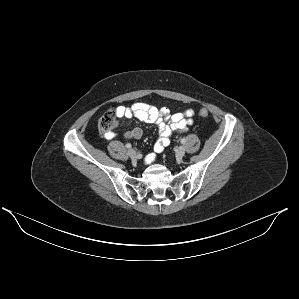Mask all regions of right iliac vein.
Returning a JSON list of instances; mask_svg holds the SVG:
<instances>
[{
    "mask_svg": "<svg viewBox=\"0 0 299 299\" xmlns=\"http://www.w3.org/2000/svg\"><path fill=\"white\" fill-rule=\"evenodd\" d=\"M128 155H129V157H130L131 159H135V158L137 157V152H136L135 150H133V149H130V150L128 151Z\"/></svg>",
    "mask_w": 299,
    "mask_h": 299,
    "instance_id": "63e3f726",
    "label": "right iliac vein"
}]
</instances>
